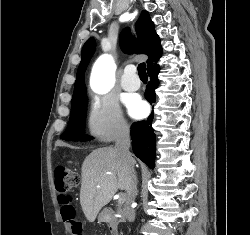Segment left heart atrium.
Returning a JSON list of instances; mask_svg holds the SVG:
<instances>
[{
  "label": "left heart atrium",
  "mask_w": 250,
  "mask_h": 235,
  "mask_svg": "<svg viewBox=\"0 0 250 235\" xmlns=\"http://www.w3.org/2000/svg\"><path fill=\"white\" fill-rule=\"evenodd\" d=\"M145 106L137 101L131 106V112L135 117H142L145 114Z\"/></svg>",
  "instance_id": "1"
}]
</instances>
